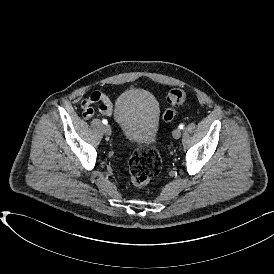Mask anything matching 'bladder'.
<instances>
[{
	"label": "bladder",
	"instance_id": "bladder-1",
	"mask_svg": "<svg viewBox=\"0 0 274 274\" xmlns=\"http://www.w3.org/2000/svg\"><path fill=\"white\" fill-rule=\"evenodd\" d=\"M113 116L123 136L131 143H151L159 129V107L147 90L131 88L117 98Z\"/></svg>",
	"mask_w": 274,
	"mask_h": 274
}]
</instances>
